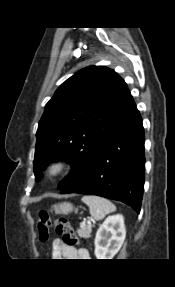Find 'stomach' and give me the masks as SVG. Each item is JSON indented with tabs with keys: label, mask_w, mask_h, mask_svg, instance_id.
<instances>
[{
	"label": "stomach",
	"mask_w": 175,
	"mask_h": 287,
	"mask_svg": "<svg viewBox=\"0 0 175 287\" xmlns=\"http://www.w3.org/2000/svg\"><path fill=\"white\" fill-rule=\"evenodd\" d=\"M53 210L55 211V213L58 214H67L69 212H72L73 210V205L71 203L68 202H63L57 205L53 206Z\"/></svg>",
	"instance_id": "1"
}]
</instances>
